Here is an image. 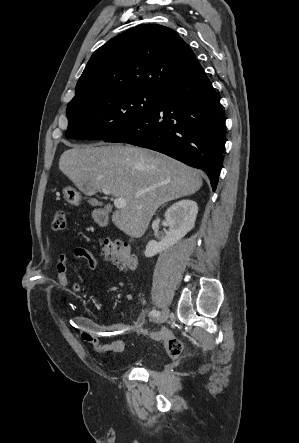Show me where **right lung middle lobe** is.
Listing matches in <instances>:
<instances>
[{"label": "right lung middle lobe", "mask_w": 299, "mask_h": 443, "mask_svg": "<svg viewBox=\"0 0 299 443\" xmlns=\"http://www.w3.org/2000/svg\"><path fill=\"white\" fill-rule=\"evenodd\" d=\"M158 92L119 90L75 101L67 106L69 139H105L149 112Z\"/></svg>", "instance_id": "1"}]
</instances>
